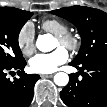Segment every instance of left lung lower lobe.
<instances>
[{
  "mask_svg": "<svg viewBox=\"0 0 107 107\" xmlns=\"http://www.w3.org/2000/svg\"><path fill=\"white\" fill-rule=\"evenodd\" d=\"M70 65L80 70L83 79L78 80V74L70 77V83L60 92L63 102L68 107H106L107 55Z\"/></svg>",
  "mask_w": 107,
  "mask_h": 107,
  "instance_id": "obj_1",
  "label": "left lung lower lobe"
}]
</instances>
